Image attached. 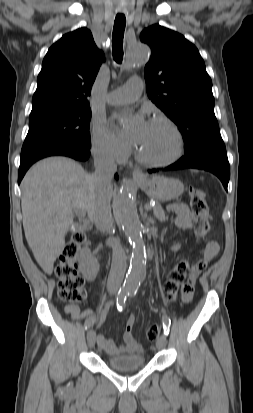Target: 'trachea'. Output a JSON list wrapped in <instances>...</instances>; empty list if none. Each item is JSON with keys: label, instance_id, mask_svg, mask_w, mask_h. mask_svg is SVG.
<instances>
[{"label": "trachea", "instance_id": "obj_1", "mask_svg": "<svg viewBox=\"0 0 253 413\" xmlns=\"http://www.w3.org/2000/svg\"><path fill=\"white\" fill-rule=\"evenodd\" d=\"M125 25V16L123 14H118L114 21V29L112 34L113 58L117 63H121L123 59V37Z\"/></svg>", "mask_w": 253, "mask_h": 413}]
</instances>
